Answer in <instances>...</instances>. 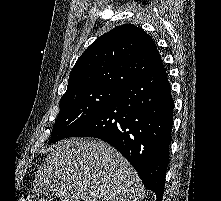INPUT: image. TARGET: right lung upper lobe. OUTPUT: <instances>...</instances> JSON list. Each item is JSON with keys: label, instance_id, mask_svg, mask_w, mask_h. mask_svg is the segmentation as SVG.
<instances>
[{"label": "right lung upper lobe", "instance_id": "right-lung-upper-lobe-1", "mask_svg": "<svg viewBox=\"0 0 221 201\" xmlns=\"http://www.w3.org/2000/svg\"><path fill=\"white\" fill-rule=\"evenodd\" d=\"M162 64L152 38L131 24L96 39L79 57L66 93L90 87L121 89Z\"/></svg>", "mask_w": 221, "mask_h": 201}]
</instances>
